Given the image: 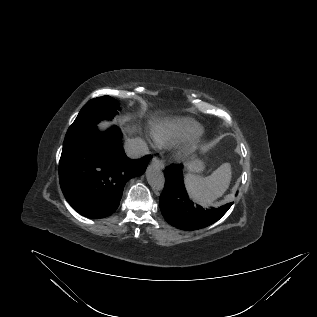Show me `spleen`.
I'll return each mask as SVG.
<instances>
[{"instance_id": "spleen-1", "label": "spleen", "mask_w": 317, "mask_h": 317, "mask_svg": "<svg viewBox=\"0 0 317 317\" xmlns=\"http://www.w3.org/2000/svg\"><path fill=\"white\" fill-rule=\"evenodd\" d=\"M231 181V165L224 163L210 176L200 177L188 174L185 185L190 197L202 205L213 203L228 189Z\"/></svg>"}]
</instances>
